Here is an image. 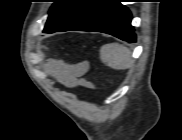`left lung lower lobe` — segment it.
<instances>
[{"instance_id":"1","label":"left lung lower lobe","mask_w":182,"mask_h":140,"mask_svg":"<svg viewBox=\"0 0 182 140\" xmlns=\"http://www.w3.org/2000/svg\"><path fill=\"white\" fill-rule=\"evenodd\" d=\"M68 30L103 32L127 42L136 41V35L131 26V13L120 0H106Z\"/></svg>"}]
</instances>
